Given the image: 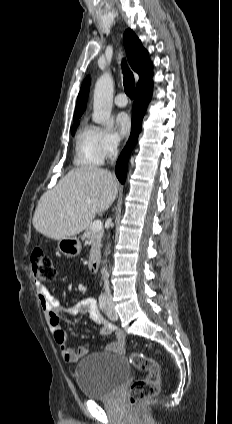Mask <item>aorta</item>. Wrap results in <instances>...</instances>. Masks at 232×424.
<instances>
[{"mask_svg": "<svg viewBox=\"0 0 232 424\" xmlns=\"http://www.w3.org/2000/svg\"><path fill=\"white\" fill-rule=\"evenodd\" d=\"M112 102L113 78L110 72H105L100 76L95 85L93 120L107 128L113 126V121L111 120Z\"/></svg>", "mask_w": 232, "mask_h": 424, "instance_id": "aorta-1", "label": "aorta"}]
</instances>
